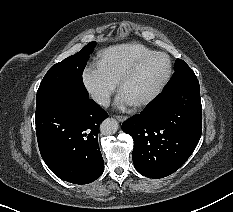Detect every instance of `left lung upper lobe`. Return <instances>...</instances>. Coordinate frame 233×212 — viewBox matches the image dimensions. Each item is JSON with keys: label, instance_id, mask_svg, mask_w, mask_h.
<instances>
[{"label": "left lung upper lobe", "instance_id": "obj_1", "mask_svg": "<svg viewBox=\"0 0 233 212\" xmlns=\"http://www.w3.org/2000/svg\"><path fill=\"white\" fill-rule=\"evenodd\" d=\"M174 74L170 81L166 84L164 89L171 87L176 84L178 81L188 78V77H196L191 68L181 59H177L174 66Z\"/></svg>", "mask_w": 233, "mask_h": 212}]
</instances>
